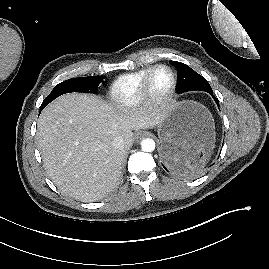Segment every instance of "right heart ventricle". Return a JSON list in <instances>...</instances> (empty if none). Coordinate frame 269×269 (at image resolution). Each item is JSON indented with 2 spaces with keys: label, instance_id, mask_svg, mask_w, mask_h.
I'll return each instance as SVG.
<instances>
[{
  "label": "right heart ventricle",
  "instance_id": "obj_1",
  "mask_svg": "<svg viewBox=\"0 0 269 269\" xmlns=\"http://www.w3.org/2000/svg\"><path fill=\"white\" fill-rule=\"evenodd\" d=\"M150 67L119 76L110 86L111 100L119 107L130 108L140 101V87Z\"/></svg>",
  "mask_w": 269,
  "mask_h": 269
}]
</instances>
